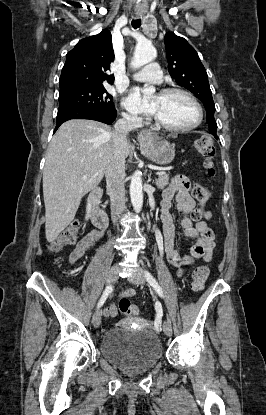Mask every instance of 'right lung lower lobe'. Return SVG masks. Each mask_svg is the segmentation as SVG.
<instances>
[{"label": "right lung lower lobe", "instance_id": "obj_1", "mask_svg": "<svg viewBox=\"0 0 266 415\" xmlns=\"http://www.w3.org/2000/svg\"><path fill=\"white\" fill-rule=\"evenodd\" d=\"M117 112L113 111H101L85 108H64L59 109L57 114V122L55 131L58 127L70 119H92L100 121L106 124H111L116 118ZM54 131V132H55Z\"/></svg>", "mask_w": 266, "mask_h": 415}]
</instances>
